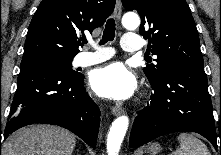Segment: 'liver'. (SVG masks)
Returning a JSON list of instances; mask_svg holds the SVG:
<instances>
[{"label":"liver","instance_id":"obj_1","mask_svg":"<svg viewBox=\"0 0 221 155\" xmlns=\"http://www.w3.org/2000/svg\"><path fill=\"white\" fill-rule=\"evenodd\" d=\"M75 135L57 126L37 124L14 132L3 145L2 155H72Z\"/></svg>","mask_w":221,"mask_h":155}]
</instances>
